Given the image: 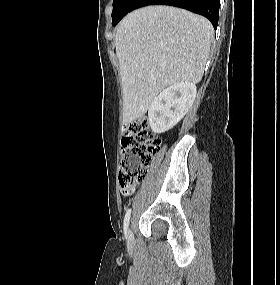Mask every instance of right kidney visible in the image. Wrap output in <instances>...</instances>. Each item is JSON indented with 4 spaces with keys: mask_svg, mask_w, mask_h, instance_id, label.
Instances as JSON below:
<instances>
[{
    "mask_svg": "<svg viewBox=\"0 0 280 285\" xmlns=\"http://www.w3.org/2000/svg\"><path fill=\"white\" fill-rule=\"evenodd\" d=\"M196 92V85L190 82H179L164 89L148 110L152 131L160 134L172 129L192 106Z\"/></svg>",
    "mask_w": 280,
    "mask_h": 285,
    "instance_id": "right-kidney-1",
    "label": "right kidney"
}]
</instances>
